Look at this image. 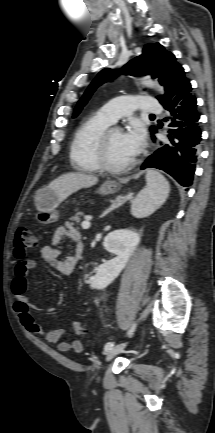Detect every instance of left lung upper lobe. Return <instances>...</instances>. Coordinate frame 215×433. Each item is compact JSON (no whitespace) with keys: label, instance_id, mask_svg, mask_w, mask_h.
Here are the masks:
<instances>
[{"label":"left lung upper lobe","instance_id":"5c2ea615","mask_svg":"<svg viewBox=\"0 0 215 433\" xmlns=\"http://www.w3.org/2000/svg\"><path fill=\"white\" fill-rule=\"evenodd\" d=\"M120 72L132 76L151 75L158 78L161 85L165 87V95L157 98L162 102L172 88L185 77L184 69L176 62L174 54L164 49L159 43L145 45L140 56L131 60L121 71L114 69H103L93 80L78 102L73 117H76L85 106L95 89L106 81L115 78ZM150 130L156 132V127Z\"/></svg>","mask_w":215,"mask_h":433}]
</instances>
